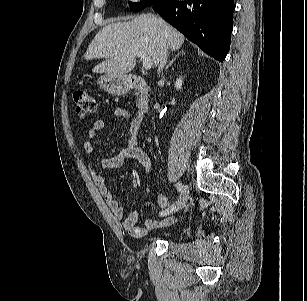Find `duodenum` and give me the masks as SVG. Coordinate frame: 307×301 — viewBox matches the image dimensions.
Instances as JSON below:
<instances>
[{"label":"duodenum","mask_w":307,"mask_h":301,"mask_svg":"<svg viewBox=\"0 0 307 301\" xmlns=\"http://www.w3.org/2000/svg\"><path fill=\"white\" fill-rule=\"evenodd\" d=\"M130 88L136 93V108L141 113L150 109L149 88L146 81L140 76H133L130 79Z\"/></svg>","instance_id":"duodenum-1"}]
</instances>
